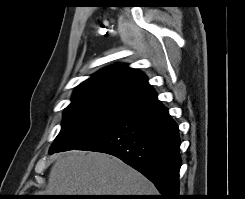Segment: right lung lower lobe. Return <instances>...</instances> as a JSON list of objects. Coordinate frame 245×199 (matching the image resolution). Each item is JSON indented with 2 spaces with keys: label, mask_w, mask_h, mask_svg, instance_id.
Masks as SVG:
<instances>
[{
  "label": "right lung lower lobe",
  "mask_w": 245,
  "mask_h": 199,
  "mask_svg": "<svg viewBox=\"0 0 245 199\" xmlns=\"http://www.w3.org/2000/svg\"><path fill=\"white\" fill-rule=\"evenodd\" d=\"M178 126L158 103L128 115L115 127L76 148L118 157L154 183L159 199L179 198Z\"/></svg>",
  "instance_id": "right-lung-lower-lobe-1"
}]
</instances>
